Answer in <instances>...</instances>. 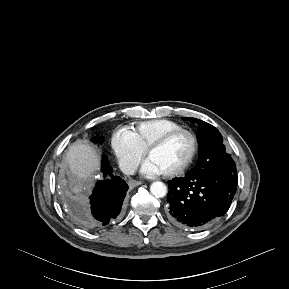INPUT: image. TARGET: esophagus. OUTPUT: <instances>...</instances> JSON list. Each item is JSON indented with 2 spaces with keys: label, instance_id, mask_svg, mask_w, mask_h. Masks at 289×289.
<instances>
[{
  "label": "esophagus",
  "instance_id": "34e87169",
  "mask_svg": "<svg viewBox=\"0 0 289 289\" xmlns=\"http://www.w3.org/2000/svg\"><path fill=\"white\" fill-rule=\"evenodd\" d=\"M128 184H129V187L132 189V188H134V187H136L138 185H141L142 182L132 179V180H129Z\"/></svg>",
  "mask_w": 289,
  "mask_h": 289
}]
</instances>
